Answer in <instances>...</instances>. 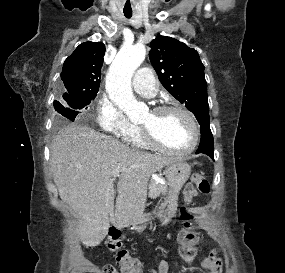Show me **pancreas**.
<instances>
[{"mask_svg":"<svg viewBox=\"0 0 285 273\" xmlns=\"http://www.w3.org/2000/svg\"><path fill=\"white\" fill-rule=\"evenodd\" d=\"M168 192V186L162 185L156 180H151L149 184V197L155 199L160 195H166Z\"/></svg>","mask_w":285,"mask_h":273,"instance_id":"1","label":"pancreas"}]
</instances>
